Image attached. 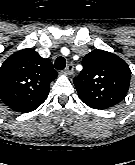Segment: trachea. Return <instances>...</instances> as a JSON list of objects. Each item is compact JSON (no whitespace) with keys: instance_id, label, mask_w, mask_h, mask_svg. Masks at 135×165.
I'll return each instance as SVG.
<instances>
[{"instance_id":"trachea-1","label":"trachea","mask_w":135,"mask_h":165,"mask_svg":"<svg viewBox=\"0 0 135 165\" xmlns=\"http://www.w3.org/2000/svg\"><path fill=\"white\" fill-rule=\"evenodd\" d=\"M66 66V60L64 57L60 56L56 59L55 63H54V67L55 69L58 70H63Z\"/></svg>"}]
</instances>
